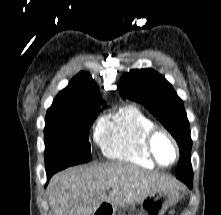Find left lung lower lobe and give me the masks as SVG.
Here are the masks:
<instances>
[{"label": "left lung lower lobe", "mask_w": 221, "mask_h": 215, "mask_svg": "<svg viewBox=\"0 0 221 215\" xmlns=\"http://www.w3.org/2000/svg\"><path fill=\"white\" fill-rule=\"evenodd\" d=\"M181 181H183L189 188H192L193 181H189V180H181Z\"/></svg>", "instance_id": "0a47b994"}]
</instances>
